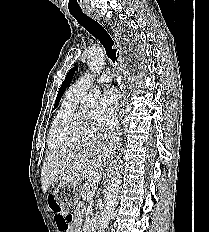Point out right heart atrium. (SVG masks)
<instances>
[{"instance_id": "1", "label": "right heart atrium", "mask_w": 209, "mask_h": 232, "mask_svg": "<svg viewBox=\"0 0 209 232\" xmlns=\"http://www.w3.org/2000/svg\"><path fill=\"white\" fill-rule=\"evenodd\" d=\"M108 123V121H107V119H103L102 121H101V124H107Z\"/></svg>"}]
</instances>
